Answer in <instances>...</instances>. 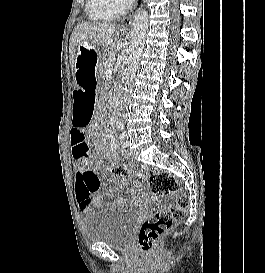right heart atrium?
Listing matches in <instances>:
<instances>
[{"label":"right heart atrium","mask_w":265,"mask_h":273,"mask_svg":"<svg viewBox=\"0 0 265 273\" xmlns=\"http://www.w3.org/2000/svg\"><path fill=\"white\" fill-rule=\"evenodd\" d=\"M106 3L116 13H122L129 8L132 0H106Z\"/></svg>","instance_id":"d8ad5b80"}]
</instances>
